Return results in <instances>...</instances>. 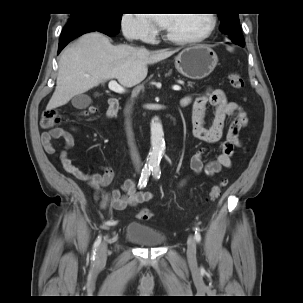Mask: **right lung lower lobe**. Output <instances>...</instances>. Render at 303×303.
Wrapping results in <instances>:
<instances>
[{"instance_id":"98d812e1","label":"right lung lower lobe","mask_w":303,"mask_h":303,"mask_svg":"<svg viewBox=\"0 0 303 303\" xmlns=\"http://www.w3.org/2000/svg\"><path fill=\"white\" fill-rule=\"evenodd\" d=\"M120 24L97 19H81L67 23L61 33L58 54L73 39L88 32H102L108 36L118 34Z\"/></svg>"}]
</instances>
